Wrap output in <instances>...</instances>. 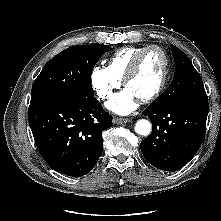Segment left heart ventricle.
<instances>
[{"label": "left heart ventricle", "instance_id": "b2bd125f", "mask_svg": "<svg viewBox=\"0 0 221 221\" xmlns=\"http://www.w3.org/2000/svg\"><path fill=\"white\" fill-rule=\"evenodd\" d=\"M163 64V57L159 51H149L143 57L138 72L130 79L126 88L138 100L147 96L157 87L162 75Z\"/></svg>", "mask_w": 221, "mask_h": 221}]
</instances>
